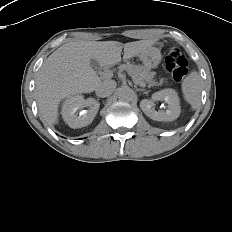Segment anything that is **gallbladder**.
<instances>
[{"instance_id": "obj_1", "label": "gallbladder", "mask_w": 232, "mask_h": 232, "mask_svg": "<svg viewBox=\"0 0 232 232\" xmlns=\"http://www.w3.org/2000/svg\"><path fill=\"white\" fill-rule=\"evenodd\" d=\"M90 65L94 69L95 72H98L100 70L101 66H100V63L97 60L91 59L90 60Z\"/></svg>"}]
</instances>
